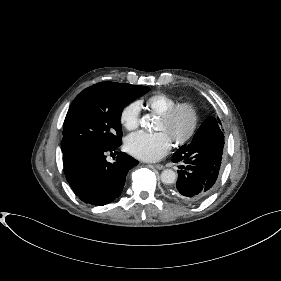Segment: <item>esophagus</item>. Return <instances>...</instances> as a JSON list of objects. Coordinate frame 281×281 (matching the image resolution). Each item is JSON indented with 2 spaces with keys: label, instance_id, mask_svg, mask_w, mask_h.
Segmentation results:
<instances>
[{
  "label": "esophagus",
  "instance_id": "esophagus-1",
  "mask_svg": "<svg viewBox=\"0 0 281 281\" xmlns=\"http://www.w3.org/2000/svg\"><path fill=\"white\" fill-rule=\"evenodd\" d=\"M154 167L158 170H163L165 168L162 164H155Z\"/></svg>",
  "mask_w": 281,
  "mask_h": 281
}]
</instances>
